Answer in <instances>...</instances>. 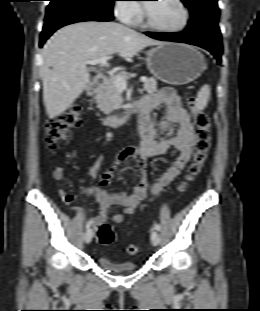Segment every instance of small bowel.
<instances>
[{"label":"small bowel","instance_id":"c3829d8e","mask_svg":"<svg viewBox=\"0 0 260 311\" xmlns=\"http://www.w3.org/2000/svg\"><path fill=\"white\" fill-rule=\"evenodd\" d=\"M141 104L140 133L142 145L140 148H126L122 150L118 153L115 163L128 159L135 160L142 172V177L134 185L131 194L109 193L99 187H89L85 190L100 204L99 214L91 218V225L94 227L106 221L109 207L112 205H119L122 208L121 212L113 215V221L121 223L124 220V216L132 214L149 193L157 194L175 180L191 158L192 147L196 140L194 126L175 91L170 88H164L144 98ZM161 106L166 108V112L159 122L154 123L151 119V113ZM172 149L178 152V156L171 166L160 175L157 182L150 187L146 177L147 160L166 154ZM101 160V156H98L90 163L88 170L90 179L96 177ZM52 177L58 182L63 181L65 178L64 168H55L52 172ZM112 177L113 167H110L102 173L100 184L102 186L109 185L112 182ZM60 196L65 204H70L76 198V194L68 193L64 189L60 190ZM73 210L77 213H83L81 207H73Z\"/></svg>","mask_w":260,"mask_h":311}]
</instances>
